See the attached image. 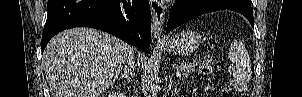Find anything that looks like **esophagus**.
Wrapping results in <instances>:
<instances>
[{
	"label": "esophagus",
	"mask_w": 302,
	"mask_h": 97,
	"mask_svg": "<svg viewBox=\"0 0 302 97\" xmlns=\"http://www.w3.org/2000/svg\"><path fill=\"white\" fill-rule=\"evenodd\" d=\"M150 7L153 22V37L157 41H162V29L164 23L165 9L163 4L158 0H150Z\"/></svg>",
	"instance_id": "obj_1"
}]
</instances>
